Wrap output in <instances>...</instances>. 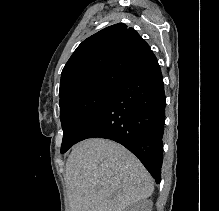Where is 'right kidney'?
<instances>
[{
	"label": "right kidney",
	"instance_id": "obj_1",
	"mask_svg": "<svg viewBox=\"0 0 219 211\" xmlns=\"http://www.w3.org/2000/svg\"><path fill=\"white\" fill-rule=\"evenodd\" d=\"M152 199H140L130 205L128 211H152Z\"/></svg>",
	"mask_w": 219,
	"mask_h": 211
}]
</instances>
